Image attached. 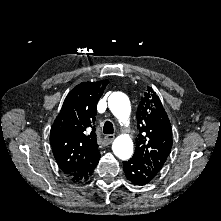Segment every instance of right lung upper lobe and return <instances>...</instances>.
Returning a JSON list of instances; mask_svg holds the SVG:
<instances>
[{
  "label": "right lung upper lobe",
  "instance_id": "cb5924a9",
  "mask_svg": "<svg viewBox=\"0 0 221 221\" xmlns=\"http://www.w3.org/2000/svg\"><path fill=\"white\" fill-rule=\"evenodd\" d=\"M107 80L83 82L73 88L50 131V143L61 171L68 177L98 154L94 122Z\"/></svg>",
  "mask_w": 221,
  "mask_h": 221
}]
</instances>
